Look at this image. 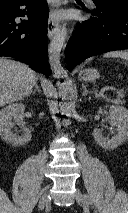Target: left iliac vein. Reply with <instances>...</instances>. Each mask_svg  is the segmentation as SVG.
<instances>
[{
	"mask_svg": "<svg viewBox=\"0 0 128 213\" xmlns=\"http://www.w3.org/2000/svg\"><path fill=\"white\" fill-rule=\"evenodd\" d=\"M75 199H76L78 204L83 205V206L85 205L84 197L79 190H77L76 193H75Z\"/></svg>",
	"mask_w": 128,
	"mask_h": 213,
	"instance_id": "4c4485c4",
	"label": "left iliac vein"
}]
</instances>
